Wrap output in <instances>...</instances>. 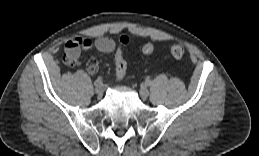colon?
<instances>
[{"mask_svg": "<svg viewBox=\"0 0 259 156\" xmlns=\"http://www.w3.org/2000/svg\"><path fill=\"white\" fill-rule=\"evenodd\" d=\"M128 42H129L128 37H126V36L121 37L120 38L121 47L118 49V51L115 54V73H116V78L118 80H122L126 75L127 64L124 59L122 46H125L126 44H128ZM153 51H154V45L152 43L146 42L143 44L142 52L144 54L149 55ZM169 52L173 57L179 59V58L183 57L185 51H184V47L181 44L173 43L169 46ZM76 60H77L76 58H74L73 56H71L70 54H68L66 52V61L69 64L75 63Z\"/></svg>", "mask_w": 259, "mask_h": 156, "instance_id": "colon-1", "label": "colon"}]
</instances>
